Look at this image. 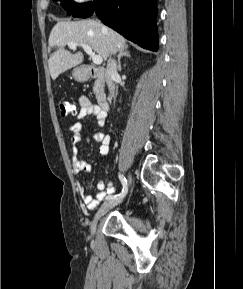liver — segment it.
Wrapping results in <instances>:
<instances>
[{"label": "liver", "instance_id": "liver-1", "mask_svg": "<svg viewBox=\"0 0 243 289\" xmlns=\"http://www.w3.org/2000/svg\"><path fill=\"white\" fill-rule=\"evenodd\" d=\"M69 42L90 46L104 60H107L110 54L128 47L122 35L94 19L60 21L53 27L49 36V51L56 48L48 60L53 80L83 62L84 56L81 52L71 53L65 49Z\"/></svg>", "mask_w": 243, "mask_h": 289}]
</instances>
